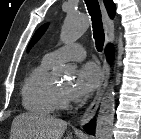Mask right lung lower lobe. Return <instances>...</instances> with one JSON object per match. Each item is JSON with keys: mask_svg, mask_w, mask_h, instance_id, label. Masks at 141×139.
Segmentation results:
<instances>
[{"mask_svg": "<svg viewBox=\"0 0 141 139\" xmlns=\"http://www.w3.org/2000/svg\"><path fill=\"white\" fill-rule=\"evenodd\" d=\"M106 55L108 58V61L111 62L113 60V47L108 45L106 48ZM95 120H92L91 123L87 124L84 129L86 130L87 133L89 134H94L95 130Z\"/></svg>", "mask_w": 141, "mask_h": 139, "instance_id": "1", "label": "right lung lower lobe"}]
</instances>
